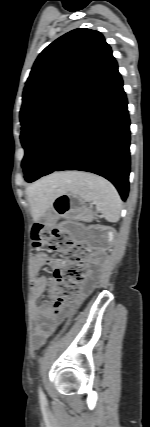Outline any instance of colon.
Wrapping results in <instances>:
<instances>
[{
    "instance_id": "5ec220e1",
    "label": "colon",
    "mask_w": 150,
    "mask_h": 427,
    "mask_svg": "<svg viewBox=\"0 0 150 427\" xmlns=\"http://www.w3.org/2000/svg\"><path fill=\"white\" fill-rule=\"evenodd\" d=\"M33 245L36 248L46 247L62 252L67 263L54 271L53 312L58 314L60 308L74 300L79 286L86 278L87 250L70 241L67 232L61 229L47 230L42 224H36L32 230Z\"/></svg>"
}]
</instances>
